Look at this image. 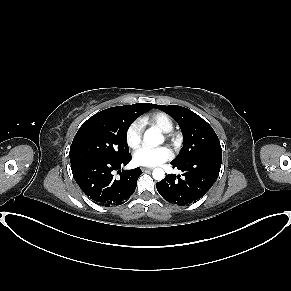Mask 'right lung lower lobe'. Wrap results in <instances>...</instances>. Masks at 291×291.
<instances>
[{"instance_id": "obj_1", "label": "right lung lower lobe", "mask_w": 291, "mask_h": 291, "mask_svg": "<svg viewBox=\"0 0 291 291\" xmlns=\"http://www.w3.org/2000/svg\"><path fill=\"white\" fill-rule=\"evenodd\" d=\"M131 154L119 159L92 158L71 163L73 177L82 191L99 205H120L130 198L136 189L140 168L126 170L115 178L114 170L125 166Z\"/></svg>"}]
</instances>
